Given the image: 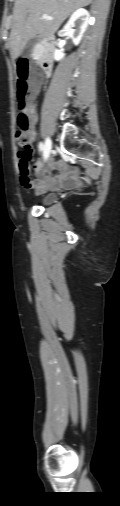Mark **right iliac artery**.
<instances>
[{
	"label": "right iliac artery",
	"mask_w": 120,
	"mask_h": 506,
	"mask_svg": "<svg viewBox=\"0 0 120 506\" xmlns=\"http://www.w3.org/2000/svg\"><path fill=\"white\" fill-rule=\"evenodd\" d=\"M44 150H45V145L42 142H40L39 143V151L44 152ZM45 159H47V158H45Z\"/></svg>",
	"instance_id": "82829eb1"
}]
</instances>
